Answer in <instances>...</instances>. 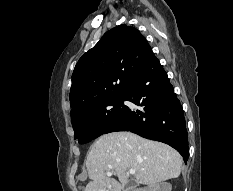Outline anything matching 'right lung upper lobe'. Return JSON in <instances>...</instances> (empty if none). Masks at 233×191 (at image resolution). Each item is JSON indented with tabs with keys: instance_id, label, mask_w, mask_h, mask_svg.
<instances>
[{
	"instance_id": "1",
	"label": "right lung upper lobe",
	"mask_w": 233,
	"mask_h": 191,
	"mask_svg": "<svg viewBox=\"0 0 233 191\" xmlns=\"http://www.w3.org/2000/svg\"><path fill=\"white\" fill-rule=\"evenodd\" d=\"M153 52L134 27L119 25L78 61L70 89L71 117L106 101L126 96Z\"/></svg>"
}]
</instances>
